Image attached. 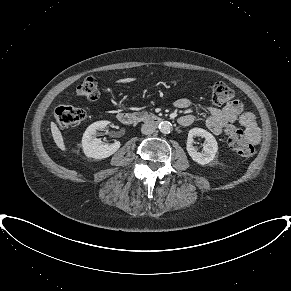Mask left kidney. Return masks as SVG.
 <instances>
[{
    "label": "left kidney",
    "instance_id": "5707ae66",
    "mask_svg": "<svg viewBox=\"0 0 291 291\" xmlns=\"http://www.w3.org/2000/svg\"><path fill=\"white\" fill-rule=\"evenodd\" d=\"M196 136L205 138L206 143L203 147V152H198L193 146V138ZM186 150L193 161L200 165H206L214 160L218 145L215 137L210 132L202 128H193L188 133Z\"/></svg>",
    "mask_w": 291,
    "mask_h": 291
}]
</instances>
